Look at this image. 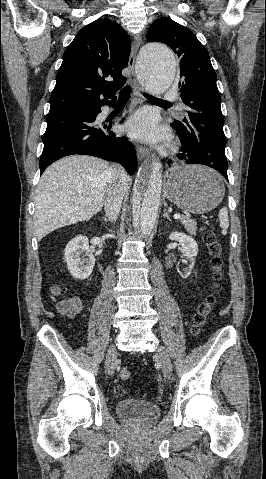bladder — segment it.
<instances>
[{
	"label": "bladder",
	"instance_id": "31cf9c89",
	"mask_svg": "<svg viewBox=\"0 0 266 479\" xmlns=\"http://www.w3.org/2000/svg\"><path fill=\"white\" fill-rule=\"evenodd\" d=\"M117 413L124 418L136 422H152L160 416L158 405L148 401L122 400L116 404Z\"/></svg>",
	"mask_w": 266,
	"mask_h": 479
}]
</instances>
